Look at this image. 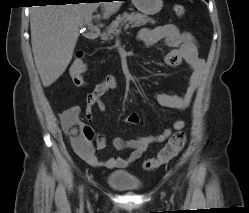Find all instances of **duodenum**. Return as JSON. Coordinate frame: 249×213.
Wrapping results in <instances>:
<instances>
[{
	"label": "duodenum",
	"mask_w": 249,
	"mask_h": 213,
	"mask_svg": "<svg viewBox=\"0 0 249 213\" xmlns=\"http://www.w3.org/2000/svg\"><path fill=\"white\" fill-rule=\"evenodd\" d=\"M98 36L99 30L97 27H90L85 33V37L88 41H95Z\"/></svg>",
	"instance_id": "1"
}]
</instances>
